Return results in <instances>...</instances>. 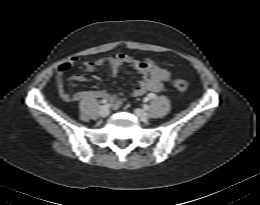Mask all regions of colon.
Listing matches in <instances>:
<instances>
[{"label": "colon", "instance_id": "obj_1", "mask_svg": "<svg viewBox=\"0 0 260 205\" xmlns=\"http://www.w3.org/2000/svg\"><path fill=\"white\" fill-rule=\"evenodd\" d=\"M172 84L179 91H186L188 89V82L184 79L175 78L172 80Z\"/></svg>", "mask_w": 260, "mask_h": 205}]
</instances>
